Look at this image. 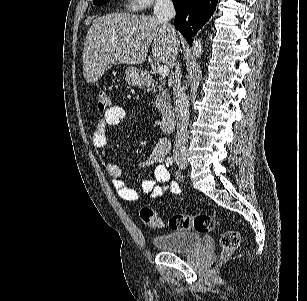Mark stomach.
<instances>
[{"mask_svg": "<svg viewBox=\"0 0 307 301\" xmlns=\"http://www.w3.org/2000/svg\"><path fill=\"white\" fill-rule=\"evenodd\" d=\"M125 80L130 86H143L145 82L144 72L137 66H127Z\"/></svg>", "mask_w": 307, "mask_h": 301, "instance_id": "obj_1", "label": "stomach"}]
</instances>
